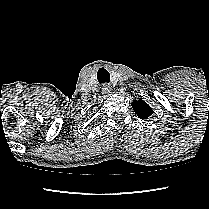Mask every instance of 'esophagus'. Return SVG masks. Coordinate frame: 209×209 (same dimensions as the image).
Masks as SVG:
<instances>
[{
  "label": "esophagus",
  "mask_w": 209,
  "mask_h": 209,
  "mask_svg": "<svg viewBox=\"0 0 209 209\" xmlns=\"http://www.w3.org/2000/svg\"><path fill=\"white\" fill-rule=\"evenodd\" d=\"M102 90H103V93H106V94H110L112 92V88L109 85H104Z\"/></svg>",
  "instance_id": "obj_1"
}]
</instances>
